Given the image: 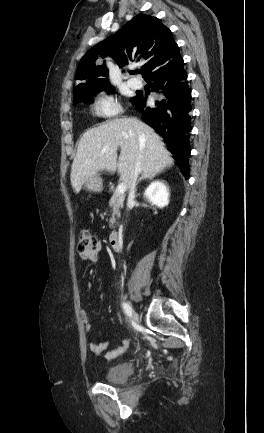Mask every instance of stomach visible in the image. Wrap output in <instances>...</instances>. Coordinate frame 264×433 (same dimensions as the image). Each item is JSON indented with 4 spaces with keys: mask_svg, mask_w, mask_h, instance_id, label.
<instances>
[{
    "mask_svg": "<svg viewBox=\"0 0 264 433\" xmlns=\"http://www.w3.org/2000/svg\"><path fill=\"white\" fill-rule=\"evenodd\" d=\"M84 188L87 191L98 193L103 190V182L99 176L88 178L84 183Z\"/></svg>",
    "mask_w": 264,
    "mask_h": 433,
    "instance_id": "0dacf381",
    "label": "stomach"
}]
</instances>
